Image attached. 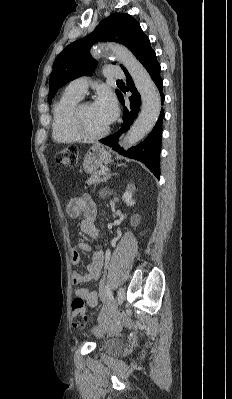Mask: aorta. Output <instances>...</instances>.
Returning <instances> with one entry per match:
<instances>
[{
    "label": "aorta",
    "mask_w": 232,
    "mask_h": 399,
    "mask_svg": "<svg viewBox=\"0 0 232 399\" xmlns=\"http://www.w3.org/2000/svg\"><path fill=\"white\" fill-rule=\"evenodd\" d=\"M102 51H110L123 64L142 99L141 112L123 139L124 148L127 149L142 140L155 126L161 110L160 95L147 70L126 47L117 44L99 45L92 49V55L98 58Z\"/></svg>",
    "instance_id": "obj_1"
}]
</instances>
